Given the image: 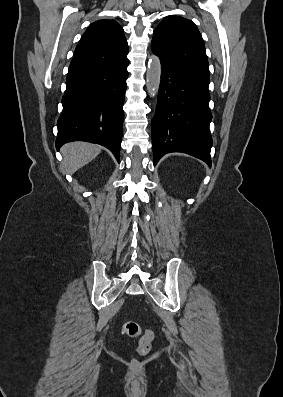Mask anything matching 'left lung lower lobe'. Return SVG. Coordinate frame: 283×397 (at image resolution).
I'll return each instance as SVG.
<instances>
[{"mask_svg": "<svg viewBox=\"0 0 283 397\" xmlns=\"http://www.w3.org/2000/svg\"><path fill=\"white\" fill-rule=\"evenodd\" d=\"M161 61L156 113L151 122L154 165L170 152H182L211 167L209 80L151 47Z\"/></svg>", "mask_w": 283, "mask_h": 397, "instance_id": "left-lung-lower-lobe-1", "label": "left lung lower lobe"}]
</instances>
